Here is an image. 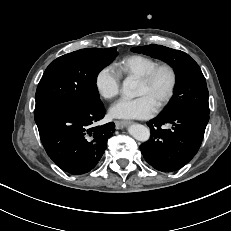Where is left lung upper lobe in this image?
I'll use <instances>...</instances> for the list:
<instances>
[{
	"mask_svg": "<svg viewBox=\"0 0 231 231\" xmlns=\"http://www.w3.org/2000/svg\"><path fill=\"white\" fill-rule=\"evenodd\" d=\"M131 50L161 59L174 68L177 76L175 93L161 114L193 110L209 115V93L205 77L198 64L188 54L161 45L133 47Z\"/></svg>",
	"mask_w": 231,
	"mask_h": 231,
	"instance_id": "5c2ea615",
	"label": "left lung upper lobe"
}]
</instances>
